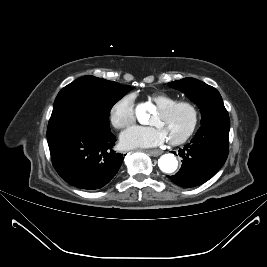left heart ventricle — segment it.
<instances>
[{
	"mask_svg": "<svg viewBox=\"0 0 267 267\" xmlns=\"http://www.w3.org/2000/svg\"><path fill=\"white\" fill-rule=\"evenodd\" d=\"M192 122V113L187 107H179L169 114L163 115L157 111L151 120L153 126L161 128L167 139L183 135Z\"/></svg>",
	"mask_w": 267,
	"mask_h": 267,
	"instance_id": "b2bd125f",
	"label": "left heart ventricle"
}]
</instances>
